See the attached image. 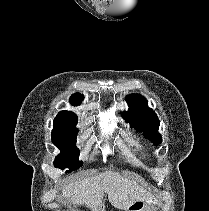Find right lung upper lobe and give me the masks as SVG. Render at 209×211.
Masks as SVG:
<instances>
[{
	"mask_svg": "<svg viewBox=\"0 0 209 211\" xmlns=\"http://www.w3.org/2000/svg\"><path fill=\"white\" fill-rule=\"evenodd\" d=\"M84 99V96L80 93H75L71 96L70 102L72 104H80ZM77 123V116L69 111H61L54 119L55 128H71Z\"/></svg>",
	"mask_w": 209,
	"mask_h": 211,
	"instance_id": "right-lung-upper-lobe-1",
	"label": "right lung upper lobe"
}]
</instances>
